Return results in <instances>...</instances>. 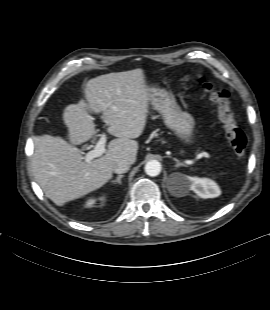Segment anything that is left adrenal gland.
<instances>
[{
	"label": "left adrenal gland",
	"instance_id": "1",
	"mask_svg": "<svg viewBox=\"0 0 270 310\" xmlns=\"http://www.w3.org/2000/svg\"><path fill=\"white\" fill-rule=\"evenodd\" d=\"M173 160L176 162V165L175 167H179V166H184V167H187L186 164L180 162L177 158H173Z\"/></svg>",
	"mask_w": 270,
	"mask_h": 310
}]
</instances>
